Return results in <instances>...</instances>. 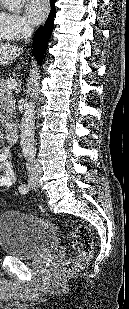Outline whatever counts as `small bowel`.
Returning a JSON list of instances; mask_svg holds the SVG:
<instances>
[{"label": "small bowel", "mask_w": 129, "mask_h": 309, "mask_svg": "<svg viewBox=\"0 0 129 309\" xmlns=\"http://www.w3.org/2000/svg\"><path fill=\"white\" fill-rule=\"evenodd\" d=\"M16 181V174L7 149H0V188L11 187Z\"/></svg>", "instance_id": "small-bowel-1"}]
</instances>
